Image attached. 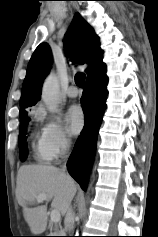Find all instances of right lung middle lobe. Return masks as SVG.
I'll use <instances>...</instances> for the list:
<instances>
[{"label":"right lung middle lobe","mask_w":158,"mask_h":237,"mask_svg":"<svg viewBox=\"0 0 158 237\" xmlns=\"http://www.w3.org/2000/svg\"><path fill=\"white\" fill-rule=\"evenodd\" d=\"M29 119L28 116L21 118L20 132H19V144L20 146L26 142V127ZM28 154L27 145H23L20 149V159L25 160Z\"/></svg>","instance_id":"obj_1"}]
</instances>
